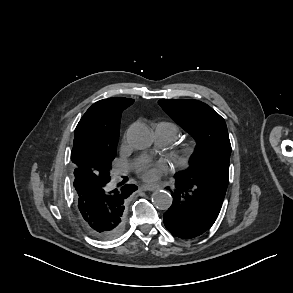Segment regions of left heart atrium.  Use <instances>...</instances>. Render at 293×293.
<instances>
[{
    "mask_svg": "<svg viewBox=\"0 0 293 293\" xmlns=\"http://www.w3.org/2000/svg\"><path fill=\"white\" fill-rule=\"evenodd\" d=\"M166 162H149L138 168V173L146 182H155L168 171Z\"/></svg>",
    "mask_w": 293,
    "mask_h": 293,
    "instance_id": "1",
    "label": "left heart atrium"
}]
</instances>
